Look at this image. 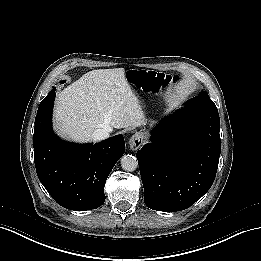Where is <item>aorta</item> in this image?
Here are the masks:
<instances>
[{"label": "aorta", "instance_id": "aorta-1", "mask_svg": "<svg viewBox=\"0 0 261 261\" xmlns=\"http://www.w3.org/2000/svg\"><path fill=\"white\" fill-rule=\"evenodd\" d=\"M121 167L124 171L133 172L138 167V160L133 155H124L120 160Z\"/></svg>", "mask_w": 261, "mask_h": 261}]
</instances>
